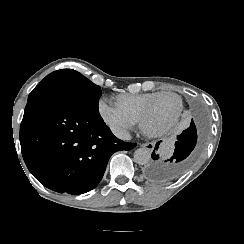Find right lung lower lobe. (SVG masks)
I'll return each instance as SVG.
<instances>
[{"instance_id": "98d812e1", "label": "right lung lower lobe", "mask_w": 244, "mask_h": 244, "mask_svg": "<svg viewBox=\"0 0 244 244\" xmlns=\"http://www.w3.org/2000/svg\"><path fill=\"white\" fill-rule=\"evenodd\" d=\"M20 144L27 168L40 183L72 195L97 186L114 152L136 146L116 138L99 112L52 100L27 103Z\"/></svg>"}]
</instances>
